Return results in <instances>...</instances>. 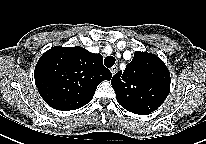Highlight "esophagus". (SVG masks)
Returning <instances> with one entry per match:
<instances>
[{
    "label": "esophagus",
    "instance_id": "esophagus-1",
    "mask_svg": "<svg viewBox=\"0 0 206 144\" xmlns=\"http://www.w3.org/2000/svg\"><path fill=\"white\" fill-rule=\"evenodd\" d=\"M111 73H112V75H115V73L117 72V70H118V67L116 66V65H114L113 67H111Z\"/></svg>",
    "mask_w": 206,
    "mask_h": 144
}]
</instances>
